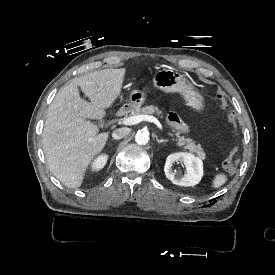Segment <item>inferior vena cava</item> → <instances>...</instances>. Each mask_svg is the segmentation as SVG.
<instances>
[{"label": "inferior vena cava", "mask_w": 275, "mask_h": 275, "mask_svg": "<svg viewBox=\"0 0 275 275\" xmlns=\"http://www.w3.org/2000/svg\"><path fill=\"white\" fill-rule=\"evenodd\" d=\"M129 133H130L129 128H119L113 131L112 138L115 140L122 139L126 137Z\"/></svg>", "instance_id": "1"}]
</instances>
